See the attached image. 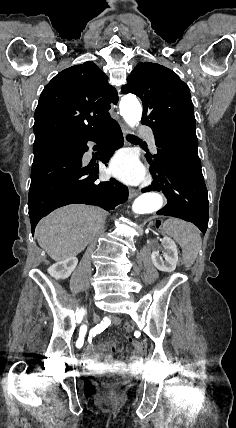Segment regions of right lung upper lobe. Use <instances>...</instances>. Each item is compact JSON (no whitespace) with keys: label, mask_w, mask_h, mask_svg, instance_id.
<instances>
[{"label":"right lung upper lobe","mask_w":236,"mask_h":428,"mask_svg":"<svg viewBox=\"0 0 236 428\" xmlns=\"http://www.w3.org/2000/svg\"><path fill=\"white\" fill-rule=\"evenodd\" d=\"M92 61L67 68L41 93L34 119V144L86 134L109 122L116 90Z\"/></svg>","instance_id":"1"}]
</instances>
